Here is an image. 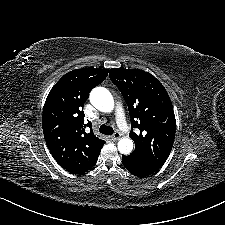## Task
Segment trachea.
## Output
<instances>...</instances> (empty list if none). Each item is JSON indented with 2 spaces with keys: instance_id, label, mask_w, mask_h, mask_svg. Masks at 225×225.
<instances>
[{
  "instance_id": "obj_1",
  "label": "trachea",
  "mask_w": 225,
  "mask_h": 225,
  "mask_svg": "<svg viewBox=\"0 0 225 225\" xmlns=\"http://www.w3.org/2000/svg\"><path fill=\"white\" fill-rule=\"evenodd\" d=\"M100 133L106 134V135H111L113 134L114 130L110 126H106L105 124H102L99 128Z\"/></svg>"
}]
</instances>
